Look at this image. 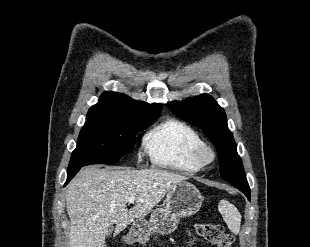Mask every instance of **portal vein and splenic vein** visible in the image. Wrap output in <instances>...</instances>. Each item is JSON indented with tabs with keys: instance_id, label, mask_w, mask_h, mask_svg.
I'll return each instance as SVG.
<instances>
[{
	"instance_id": "18ae733b",
	"label": "portal vein and splenic vein",
	"mask_w": 310,
	"mask_h": 247,
	"mask_svg": "<svg viewBox=\"0 0 310 247\" xmlns=\"http://www.w3.org/2000/svg\"><path fill=\"white\" fill-rule=\"evenodd\" d=\"M134 201H135V197H134V196L129 197L128 202H129L130 204L134 203Z\"/></svg>"
}]
</instances>
